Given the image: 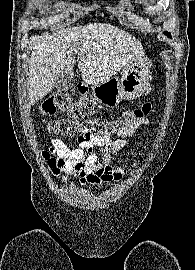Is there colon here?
<instances>
[{
	"instance_id": "obj_1",
	"label": "colon",
	"mask_w": 195,
	"mask_h": 270,
	"mask_svg": "<svg viewBox=\"0 0 195 270\" xmlns=\"http://www.w3.org/2000/svg\"><path fill=\"white\" fill-rule=\"evenodd\" d=\"M152 109L150 102L124 111L117 119L106 122L91 118L95 110V100L86 87L82 88L78 101H73L66 90H58L49 95L40 106V113L45 116L54 115L57 111H64L68 119H55L47 123L49 132L53 134L76 136L81 134H96L99 136L115 133L134 123L137 119L149 114ZM55 175L62 171L59 160L51 156L48 150L42 153Z\"/></svg>"
}]
</instances>
